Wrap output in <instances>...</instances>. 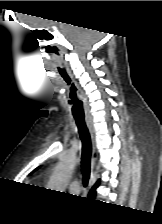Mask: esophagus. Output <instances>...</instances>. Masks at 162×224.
<instances>
[{
	"instance_id": "34e87169",
	"label": "esophagus",
	"mask_w": 162,
	"mask_h": 224,
	"mask_svg": "<svg viewBox=\"0 0 162 224\" xmlns=\"http://www.w3.org/2000/svg\"><path fill=\"white\" fill-rule=\"evenodd\" d=\"M86 123L89 129V133L91 135V141H92V148H93V154H92V168L95 165L96 160V147H95V131H94V125L92 118H86Z\"/></svg>"
}]
</instances>
